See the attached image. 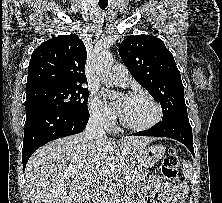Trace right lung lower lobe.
Wrapping results in <instances>:
<instances>
[{
	"mask_svg": "<svg viewBox=\"0 0 222 203\" xmlns=\"http://www.w3.org/2000/svg\"><path fill=\"white\" fill-rule=\"evenodd\" d=\"M89 111H70L58 108H40L26 113L23 168L30 156L42 145L69 135L80 133L89 120Z\"/></svg>",
	"mask_w": 222,
	"mask_h": 203,
	"instance_id": "right-lung-lower-lobe-1",
	"label": "right lung lower lobe"
}]
</instances>
